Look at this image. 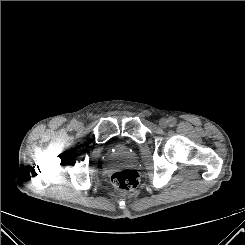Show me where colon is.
Here are the masks:
<instances>
[{
  "mask_svg": "<svg viewBox=\"0 0 245 245\" xmlns=\"http://www.w3.org/2000/svg\"><path fill=\"white\" fill-rule=\"evenodd\" d=\"M111 181L116 188L123 191H130L138 186L139 176L132 169H122L112 174Z\"/></svg>",
  "mask_w": 245,
  "mask_h": 245,
  "instance_id": "1",
  "label": "colon"
}]
</instances>
